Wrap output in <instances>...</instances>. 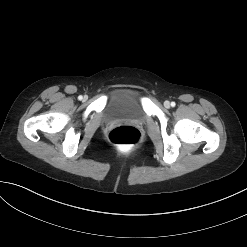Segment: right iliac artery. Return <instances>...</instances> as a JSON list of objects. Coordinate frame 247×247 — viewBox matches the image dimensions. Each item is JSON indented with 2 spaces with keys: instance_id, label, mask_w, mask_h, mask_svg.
Wrapping results in <instances>:
<instances>
[{
  "instance_id": "obj_1",
  "label": "right iliac artery",
  "mask_w": 247,
  "mask_h": 247,
  "mask_svg": "<svg viewBox=\"0 0 247 247\" xmlns=\"http://www.w3.org/2000/svg\"><path fill=\"white\" fill-rule=\"evenodd\" d=\"M78 99H79V100H82V99H83V97L80 95V96H78Z\"/></svg>"
}]
</instances>
